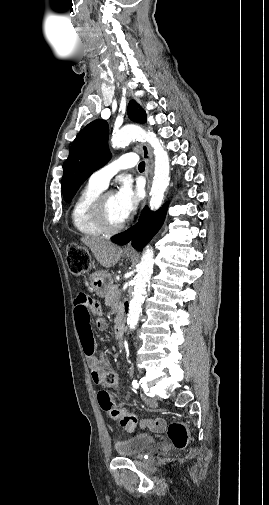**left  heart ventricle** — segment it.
<instances>
[{"mask_svg": "<svg viewBox=\"0 0 269 505\" xmlns=\"http://www.w3.org/2000/svg\"><path fill=\"white\" fill-rule=\"evenodd\" d=\"M105 209L111 224L116 225L124 221L117 210L114 194L110 193L106 197Z\"/></svg>", "mask_w": 269, "mask_h": 505, "instance_id": "left-heart-ventricle-1", "label": "left heart ventricle"}]
</instances>
